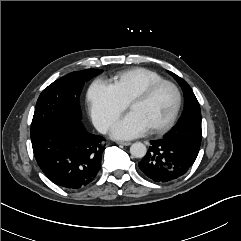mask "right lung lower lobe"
<instances>
[{
    "label": "right lung lower lobe",
    "mask_w": 241,
    "mask_h": 241,
    "mask_svg": "<svg viewBox=\"0 0 241 241\" xmlns=\"http://www.w3.org/2000/svg\"><path fill=\"white\" fill-rule=\"evenodd\" d=\"M104 138L86 131L80 120H63L31 138L43 173L56 185L79 189L91 183L101 168Z\"/></svg>",
    "instance_id": "98d812e1"
}]
</instances>
